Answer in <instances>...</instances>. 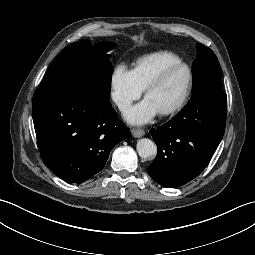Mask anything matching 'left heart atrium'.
I'll use <instances>...</instances> for the list:
<instances>
[{
	"instance_id": "1",
	"label": "left heart atrium",
	"mask_w": 255,
	"mask_h": 255,
	"mask_svg": "<svg viewBox=\"0 0 255 255\" xmlns=\"http://www.w3.org/2000/svg\"><path fill=\"white\" fill-rule=\"evenodd\" d=\"M158 110L145 98L137 105L130 108L126 113V118L133 123H146L154 118Z\"/></svg>"
}]
</instances>
